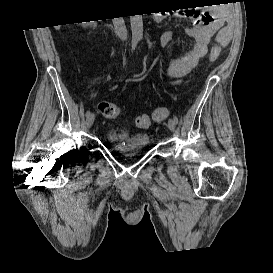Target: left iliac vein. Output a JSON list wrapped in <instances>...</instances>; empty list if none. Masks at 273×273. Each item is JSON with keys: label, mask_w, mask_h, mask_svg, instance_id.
Listing matches in <instances>:
<instances>
[{"label": "left iliac vein", "mask_w": 273, "mask_h": 273, "mask_svg": "<svg viewBox=\"0 0 273 273\" xmlns=\"http://www.w3.org/2000/svg\"><path fill=\"white\" fill-rule=\"evenodd\" d=\"M168 127H169L170 131H172V132L175 131L176 123L173 119H169Z\"/></svg>", "instance_id": "left-iliac-vein-1"}]
</instances>
